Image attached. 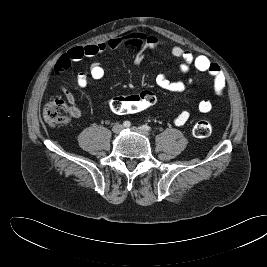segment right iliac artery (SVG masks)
I'll use <instances>...</instances> for the list:
<instances>
[{
  "instance_id": "1",
  "label": "right iliac artery",
  "mask_w": 267,
  "mask_h": 267,
  "mask_svg": "<svg viewBox=\"0 0 267 267\" xmlns=\"http://www.w3.org/2000/svg\"><path fill=\"white\" fill-rule=\"evenodd\" d=\"M123 126L126 127V128H128V127L131 126V123L129 121H124L123 122Z\"/></svg>"
}]
</instances>
